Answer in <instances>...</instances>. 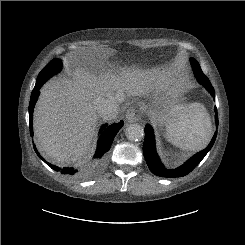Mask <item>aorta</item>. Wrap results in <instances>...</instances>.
I'll use <instances>...</instances> for the list:
<instances>
[{
	"instance_id": "aorta-1",
	"label": "aorta",
	"mask_w": 245,
	"mask_h": 245,
	"mask_svg": "<svg viewBox=\"0 0 245 245\" xmlns=\"http://www.w3.org/2000/svg\"><path fill=\"white\" fill-rule=\"evenodd\" d=\"M125 134L130 141H140L144 136V129L139 124H130L126 128Z\"/></svg>"
}]
</instances>
